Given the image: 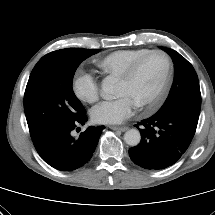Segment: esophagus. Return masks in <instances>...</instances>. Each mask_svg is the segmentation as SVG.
I'll list each match as a JSON object with an SVG mask.
<instances>
[{"label":"esophagus","mask_w":215,"mask_h":215,"mask_svg":"<svg viewBox=\"0 0 215 215\" xmlns=\"http://www.w3.org/2000/svg\"><path fill=\"white\" fill-rule=\"evenodd\" d=\"M111 128L113 129V130H119V131H121V132H124V131H126L128 128L127 127H125V126H111Z\"/></svg>","instance_id":"esophagus-1"}]
</instances>
